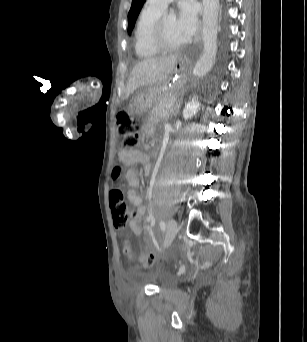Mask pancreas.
Here are the masks:
<instances>
[{
    "instance_id": "obj_1",
    "label": "pancreas",
    "mask_w": 307,
    "mask_h": 342,
    "mask_svg": "<svg viewBox=\"0 0 307 342\" xmlns=\"http://www.w3.org/2000/svg\"><path fill=\"white\" fill-rule=\"evenodd\" d=\"M156 99L160 106H157V108H153V110L149 112V116H155V118H158V120L167 118V116H169V112L164 109V106L165 104H171L172 101H175L177 99V96L175 94H158L156 96Z\"/></svg>"
}]
</instances>
